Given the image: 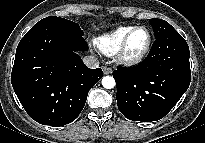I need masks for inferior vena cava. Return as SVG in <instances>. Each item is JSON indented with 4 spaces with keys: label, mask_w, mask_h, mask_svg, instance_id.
<instances>
[{
    "label": "inferior vena cava",
    "mask_w": 205,
    "mask_h": 143,
    "mask_svg": "<svg viewBox=\"0 0 205 143\" xmlns=\"http://www.w3.org/2000/svg\"><path fill=\"white\" fill-rule=\"evenodd\" d=\"M84 64L91 69H96L99 67V60L95 56H85L83 58Z\"/></svg>",
    "instance_id": "602c4592"
}]
</instances>
